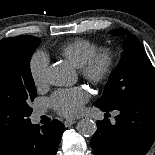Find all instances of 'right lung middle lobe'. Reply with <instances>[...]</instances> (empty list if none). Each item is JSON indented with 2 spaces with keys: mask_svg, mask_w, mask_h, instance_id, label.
I'll list each match as a JSON object with an SVG mask.
<instances>
[{
  "mask_svg": "<svg viewBox=\"0 0 155 155\" xmlns=\"http://www.w3.org/2000/svg\"><path fill=\"white\" fill-rule=\"evenodd\" d=\"M39 44L40 39L33 36L0 41V143L31 123L36 88L30 60Z\"/></svg>",
  "mask_w": 155,
  "mask_h": 155,
  "instance_id": "dd1d6c3e",
  "label": "right lung middle lobe"
}]
</instances>
